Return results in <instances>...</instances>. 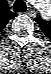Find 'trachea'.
I'll return each mask as SVG.
<instances>
[{"label": "trachea", "mask_w": 51, "mask_h": 74, "mask_svg": "<svg viewBox=\"0 0 51 74\" xmlns=\"http://www.w3.org/2000/svg\"><path fill=\"white\" fill-rule=\"evenodd\" d=\"M15 12H20L22 9H26V4L23 0H17L13 6Z\"/></svg>", "instance_id": "obj_1"}]
</instances>
